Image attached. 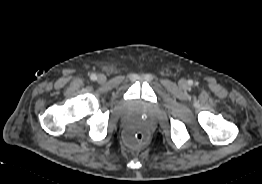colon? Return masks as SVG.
Returning a JSON list of instances; mask_svg holds the SVG:
<instances>
[{
  "instance_id": "5ec220e1",
  "label": "colon",
  "mask_w": 262,
  "mask_h": 184,
  "mask_svg": "<svg viewBox=\"0 0 262 184\" xmlns=\"http://www.w3.org/2000/svg\"><path fill=\"white\" fill-rule=\"evenodd\" d=\"M126 141L130 147L138 148L146 143L147 135L140 130L132 129L128 131Z\"/></svg>"
}]
</instances>
